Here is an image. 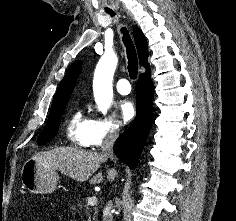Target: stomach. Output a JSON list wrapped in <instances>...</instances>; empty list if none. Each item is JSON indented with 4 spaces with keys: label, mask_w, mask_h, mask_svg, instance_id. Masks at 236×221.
I'll return each mask as SVG.
<instances>
[{
    "label": "stomach",
    "mask_w": 236,
    "mask_h": 221,
    "mask_svg": "<svg viewBox=\"0 0 236 221\" xmlns=\"http://www.w3.org/2000/svg\"><path fill=\"white\" fill-rule=\"evenodd\" d=\"M24 187L34 194L52 193L57 186L58 174L33 158L28 159L21 170Z\"/></svg>",
    "instance_id": "obj_1"
}]
</instances>
